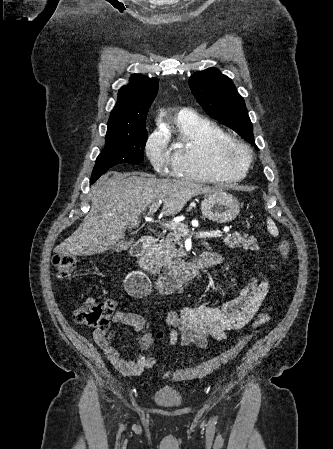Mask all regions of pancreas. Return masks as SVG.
Wrapping results in <instances>:
<instances>
[{
  "instance_id": "obj_1",
  "label": "pancreas",
  "mask_w": 333,
  "mask_h": 449,
  "mask_svg": "<svg viewBox=\"0 0 333 449\" xmlns=\"http://www.w3.org/2000/svg\"><path fill=\"white\" fill-rule=\"evenodd\" d=\"M185 228H187V226H185ZM185 237L186 235L183 232L174 230L161 241L155 250V257L160 266L167 270H171L180 264L181 259L185 256L182 248V241ZM223 242L230 248L243 247L245 250H258L259 248L256 238L249 237L247 234H241L239 232L227 234V236L223 238ZM176 245L179 246L178 249H176Z\"/></svg>"
}]
</instances>
